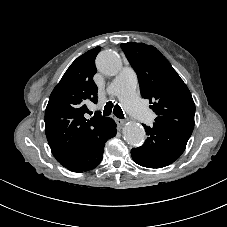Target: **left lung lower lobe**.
<instances>
[{
  "label": "left lung lower lobe",
  "instance_id": "obj_1",
  "mask_svg": "<svg viewBox=\"0 0 227 227\" xmlns=\"http://www.w3.org/2000/svg\"><path fill=\"white\" fill-rule=\"evenodd\" d=\"M145 126V125H144ZM147 139L139 148H133L131 155L140 166L162 168L170 165L184 152L190 137L159 124L145 126Z\"/></svg>",
  "mask_w": 227,
  "mask_h": 227
}]
</instances>
